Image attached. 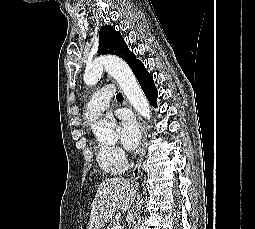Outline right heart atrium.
Returning <instances> with one entry per match:
<instances>
[{"label": "right heart atrium", "mask_w": 255, "mask_h": 229, "mask_svg": "<svg viewBox=\"0 0 255 229\" xmlns=\"http://www.w3.org/2000/svg\"><path fill=\"white\" fill-rule=\"evenodd\" d=\"M112 151H113V154L116 158L121 159V160H125V154L120 148L112 147Z\"/></svg>", "instance_id": "obj_1"}]
</instances>
